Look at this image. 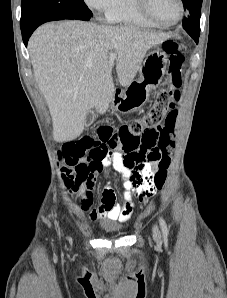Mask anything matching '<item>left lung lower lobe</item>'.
I'll return each mask as SVG.
<instances>
[{
	"instance_id": "0a47b994",
	"label": "left lung lower lobe",
	"mask_w": 227,
	"mask_h": 298,
	"mask_svg": "<svg viewBox=\"0 0 227 298\" xmlns=\"http://www.w3.org/2000/svg\"><path fill=\"white\" fill-rule=\"evenodd\" d=\"M198 40H199V39H195V42L198 43Z\"/></svg>"
}]
</instances>
